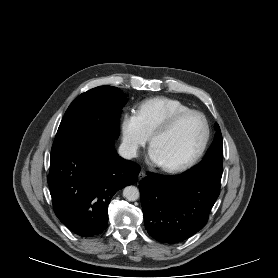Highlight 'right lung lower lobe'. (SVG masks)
Returning a JSON list of instances; mask_svg holds the SVG:
<instances>
[{
  "label": "right lung lower lobe",
  "mask_w": 278,
  "mask_h": 278,
  "mask_svg": "<svg viewBox=\"0 0 278 278\" xmlns=\"http://www.w3.org/2000/svg\"><path fill=\"white\" fill-rule=\"evenodd\" d=\"M48 184L59 220L74 233L91 237L107 228L113 195L136 182L140 168L121 158L114 139L79 142L51 151Z\"/></svg>",
  "instance_id": "obj_1"
}]
</instances>
